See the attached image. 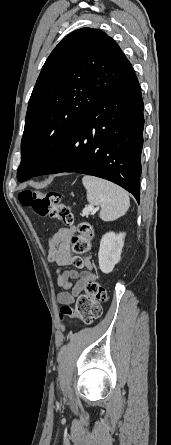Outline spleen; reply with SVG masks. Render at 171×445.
Wrapping results in <instances>:
<instances>
[{"label":"spleen","instance_id":"3e777b00","mask_svg":"<svg viewBox=\"0 0 171 445\" xmlns=\"http://www.w3.org/2000/svg\"><path fill=\"white\" fill-rule=\"evenodd\" d=\"M82 183L87 191L88 202L100 206L99 217L103 221L115 220L127 212L129 196L119 186L94 176H84Z\"/></svg>","mask_w":171,"mask_h":445}]
</instances>
